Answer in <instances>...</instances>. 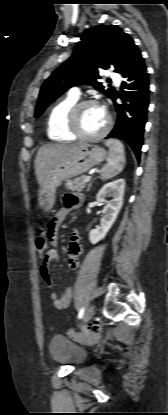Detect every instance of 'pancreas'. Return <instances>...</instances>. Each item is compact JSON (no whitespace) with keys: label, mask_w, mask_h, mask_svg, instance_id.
<instances>
[{"label":"pancreas","mask_w":168,"mask_h":415,"mask_svg":"<svg viewBox=\"0 0 168 415\" xmlns=\"http://www.w3.org/2000/svg\"><path fill=\"white\" fill-rule=\"evenodd\" d=\"M85 176L78 177L72 181L66 182V188L72 191H82L86 183L84 182Z\"/></svg>","instance_id":"pancreas-1"}]
</instances>
